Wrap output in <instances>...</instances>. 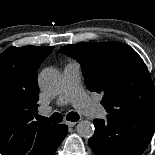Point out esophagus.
<instances>
[{
	"label": "esophagus",
	"mask_w": 155,
	"mask_h": 155,
	"mask_svg": "<svg viewBox=\"0 0 155 155\" xmlns=\"http://www.w3.org/2000/svg\"><path fill=\"white\" fill-rule=\"evenodd\" d=\"M66 124L69 126V127H74L77 122H71V121H66Z\"/></svg>",
	"instance_id": "1"
}]
</instances>
